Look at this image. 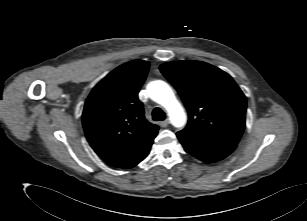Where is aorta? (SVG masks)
Wrapping results in <instances>:
<instances>
[{
    "label": "aorta",
    "instance_id": "1",
    "mask_svg": "<svg viewBox=\"0 0 307 221\" xmlns=\"http://www.w3.org/2000/svg\"><path fill=\"white\" fill-rule=\"evenodd\" d=\"M147 91L153 101L167 110L173 126L179 128L185 124L186 114L184 109L166 82L161 80L152 81L148 84Z\"/></svg>",
    "mask_w": 307,
    "mask_h": 221
}]
</instances>
